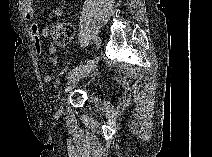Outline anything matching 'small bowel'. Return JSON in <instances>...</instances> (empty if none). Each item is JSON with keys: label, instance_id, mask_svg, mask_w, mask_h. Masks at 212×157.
I'll list each match as a JSON object with an SVG mask.
<instances>
[{"label": "small bowel", "instance_id": "obj_1", "mask_svg": "<svg viewBox=\"0 0 212 157\" xmlns=\"http://www.w3.org/2000/svg\"><path fill=\"white\" fill-rule=\"evenodd\" d=\"M22 5V10L24 13V16L26 18V20H33L35 17V8H34V4L32 0H24L21 3ZM52 15L54 17H61L64 13L63 8L52 3V2H48L47 3ZM29 32H30V37L32 39L33 45H34V49L35 52L37 54H40L42 52V37H49L50 35V29L48 27H44V28H40L39 25L36 22H32L30 27H29ZM56 46L53 43H50L48 45V52L51 55H54L56 53ZM57 64V59L56 58H52L51 60V65L56 66ZM53 79V76L50 74H47L44 76V81L49 83L51 82Z\"/></svg>", "mask_w": 212, "mask_h": 157}]
</instances>
